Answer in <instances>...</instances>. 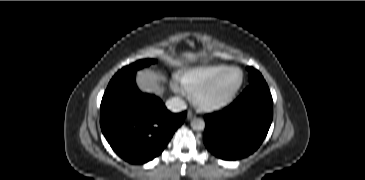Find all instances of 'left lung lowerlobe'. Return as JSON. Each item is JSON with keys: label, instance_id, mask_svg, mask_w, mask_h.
I'll list each match as a JSON object with an SVG mask.
<instances>
[{"label": "left lung lower lobe", "instance_id": "left-lung-lower-lobe-1", "mask_svg": "<svg viewBox=\"0 0 365 180\" xmlns=\"http://www.w3.org/2000/svg\"><path fill=\"white\" fill-rule=\"evenodd\" d=\"M272 118L273 100L267 83H251L229 107L205 116L204 144L221 159L244 158L260 146Z\"/></svg>", "mask_w": 365, "mask_h": 180}]
</instances>
